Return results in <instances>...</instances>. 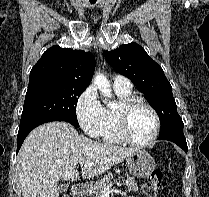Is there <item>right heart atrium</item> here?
<instances>
[{
    "mask_svg": "<svg viewBox=\"0 0 209 197\" xmlns=\"http://www.w3.org/2000/svg\"><path fill=\"white\" fill-rule=\"evenodd\" d=\"M75 108L83 131L90 137H98L105 121L106 109L94 87H87L79 95Z\"/></svg>",
    "mask_w": 209,
    "mask_h": 197,
    "instance_id": "right-heart-atrium-1",
    "label": "right heart atrium"
}]
</instances>
